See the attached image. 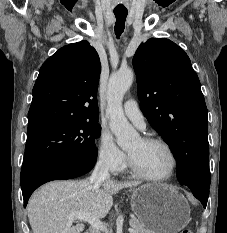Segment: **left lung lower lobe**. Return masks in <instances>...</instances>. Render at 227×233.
Here are the masks:
<instances>
[{"mask_svg":"<svg viewBox=\"0 0 227 233\" xmlns=\"http://www.w3.org/2000/svg\"><path fill=\"white\" fill-rule=\"evenodd\" d=\"M191 191H192L193 195L201 201V203L203 204V207L205 208L207 205L209 193H202V192H199L197 190H191Z\"/></svg>","mask_w":227,"mask_h":233,"instance_id":"left-lung-lower-lobe-1","label":"left lung lower lobe"}]
</instances>
